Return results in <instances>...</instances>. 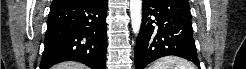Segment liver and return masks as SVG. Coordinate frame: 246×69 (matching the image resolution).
Returning a JSON list of instances; mask_svg holds the SVG:
<instances>
[{
    "label": "liver",
    "instance_id": "6515ba94",
    "mask_svg": "<svg viewBox=\"0 0 246 69\" xmlns=\"http://www.w3.org/2000/svg\"><path fill=\"white\" fill-rule=\"evenodd\" d=\"M54 69H86L84 65L77 62H64L54 67Z\"/></svg>",
    "mask_w": 246,
    "mask_h": 69
}]
</instances>
